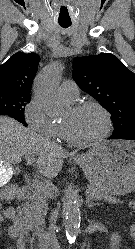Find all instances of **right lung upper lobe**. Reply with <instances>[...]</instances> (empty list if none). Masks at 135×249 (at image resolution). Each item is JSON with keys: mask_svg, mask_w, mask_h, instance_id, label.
<instances>
[{"mask_svg": "<svg viewBox=\"0 0 135 249\" xmlns=\"http://www.w3.org/2000/svg\"><path fill=\"white\" fill-rule=\"evenodd\" d=\"M40 57L17 52L0 65V92L30 94Z\"/></svg>", "mask_w": 135, "mask_h": 249, "instance_id": "obj_1", "label": "right lung upper lobe"}]
</instances>
